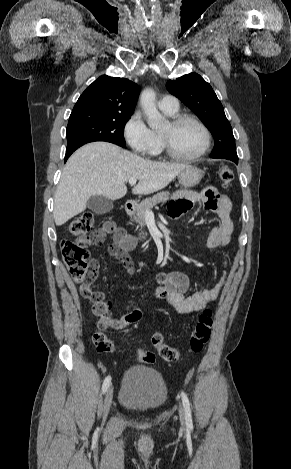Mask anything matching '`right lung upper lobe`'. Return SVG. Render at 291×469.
Segmentation results:
<instances>
[{
  "instance_id": "1",
  "label": "right lung upper lobe",
  "mask_w": 291,
  "mask_h": 469,
  "mask_svg": "<svg viewBox=\"0 0 291 469\" xmlns=\"http://www.w3.org/2000/svg\"><path fill=\"white\" fill-rule=\"evenodd\" d=\"M138 95L139 87L132 81L102 75L82 93L72 113L132 115Z\"/></svg>"
}]
</instances>
